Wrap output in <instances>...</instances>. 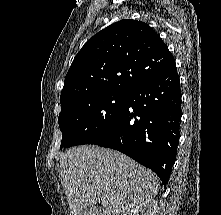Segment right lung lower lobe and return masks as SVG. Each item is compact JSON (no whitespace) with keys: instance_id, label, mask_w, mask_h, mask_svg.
I'll list each match as a JSON object with an SVG mask.
<instances>
[{"instance_id":"right-lung-lower-lobe-1","label":"right lung lower lobe","mask_w":221,"mask_h":215,"mask_svg":"<svg viewBox=\"0 0 221 215\" xmlns=\"http://www.w3.org/2000/svg\"><path fill=\"white\" fill-rule=\"evenodd\" d=\"M180 119V80L173 60L132 89L116 123L89 144L130 156L153 170L166 186L176 156Z\"/></svg>"}]
</instances>
